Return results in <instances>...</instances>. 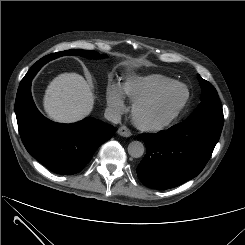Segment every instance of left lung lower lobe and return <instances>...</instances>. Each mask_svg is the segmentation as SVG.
Returning <instances> with one entry per match:
<instances>
[{"label":"left lung lower lobe","mask_w":245,"mask_h":245,"mask_svg":"<svg viewBox=\"0 0 245 245\" xmlns=\"http://www.w3.org/2000/svg\"><path fill=\"white\" fill-rule=\"evenodd\" d=\"M222 128L208 121H184L156 134L143 133L146 155L137 167L140 181L169 189L193 179L210 159Z\"/></svg>","instance_id":"1"}]
</instances>
